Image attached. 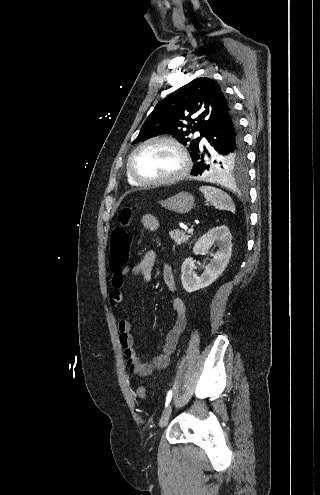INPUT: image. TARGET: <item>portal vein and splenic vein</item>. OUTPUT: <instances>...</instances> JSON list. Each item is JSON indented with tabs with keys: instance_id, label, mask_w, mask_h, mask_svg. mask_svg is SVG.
<instances>
[{
	"instance_id": "1",
	"label": "portal vein and splenic vein",
	"mask_w": 320,
	"mask_h": 495,
	"mask_svg": "<svg viewBox=\"0 0 320 495\" xmlns=\"http://www.w3.org/2000/svg\"><path fill=\"white\" fill-rule=\"evenodd\" d=\"M192 232H193V228H190V229L188 230V233H192Z\"/></svg>"
}]
</instances>
